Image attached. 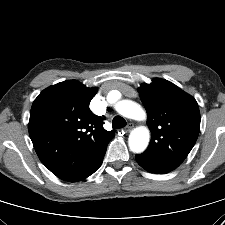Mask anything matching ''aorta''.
<instances>
[{
    "mask_svg": "<svg viewBox=\"0 0 225 225\" xmlns=\"http://www.w3.org/2000/svg\"><path fill=\"white\" fill-rule=\"evenodd\" d=\"M116 111L130 119L134 120H144L146 118V113L142 107L131 101V100H122L119 101L116 106ZM150 139V132L147 127L140 126L134 128L128 138V145L132 152L142 153L148 146Z\"/></svg>",
    "mask_w": 225,
    "mask_h": 225,
    "instance_id": "obj_1",
    "label": "aorta"
}]
</instances>
